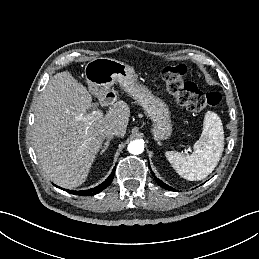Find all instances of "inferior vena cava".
Segmentation results:
<instances>
[{
	"label": "inferior vena cava",
	"instance_id": "obj_1",
	"mask_svg": "<svg viewBox=\"0 0 259 259\" xmlns=\"http://www.w3.org/2000/svg\"><path fill=\"white\" fill-rule=\"evenodd\" d=\"M121 130L118 128H110L105 132L106 137L121 136Z\"/></svg>",
	"mask_w": 259,
	"mask_h": 259
}]
</instances>
